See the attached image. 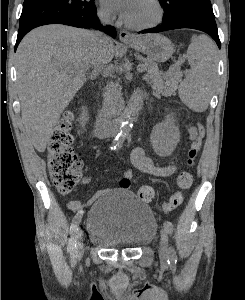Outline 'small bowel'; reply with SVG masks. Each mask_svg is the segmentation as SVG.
<instances>
[{"mask_svg":"<svg viewBox=\"0 0 245 300\" xmlns=\"http://www.w3.org/2000/svg\"><path fill=\"white\" fill-rule=\"evenodd\" d=\"M185 129L189 135L191 140L197 138V128L191 125H186ZM94 134L97 137L104 138L107 135L96 125L94 128ZM129 161L132 166L140 172L147 173L156 177H170L174 175L177 171L176 165L170 164L166 166H158L156 165L153 160L148 157L144 150L141 147L134 148L129 156ZM132 179V171H126L122 173V177L119 182V187L121 189H129ZM90 178H86L84 180L87 183ZM102 191L96 192L88 201L87 203L83 204L81 201L76 199H70L67 202V206L71 211L80 212L82 211L85 205L91 204L94 202L100 195Z\"/></svg>","mask_w":245,"mask_h":300,"instance_id":"c3829d8e","label":"small bowel"}]
</instances>
